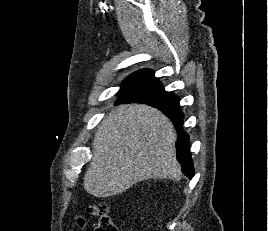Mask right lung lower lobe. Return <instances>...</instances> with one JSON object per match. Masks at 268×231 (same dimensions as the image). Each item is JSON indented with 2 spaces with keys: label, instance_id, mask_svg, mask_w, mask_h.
<instances>
[{
  "label": "right lung lower lobe",
  "instance_id": "obj_1",
  "mask_svg": "<svg viewBox=\"0 0 268 231\" xmlns=\"http://www.w3.org/2000/svg\"><path fill=\"white\" fill-rule=\"evenodd\" d=\"M178 108L179 106L159 110H161L168 118L171 119L177 130V160L181 163L182 172L189 177V179H192L194 176V169L189 150V136L183 130V113Z\"/></svg>",
  "mask_w": 268,
  "mask_h": 231
}]
</instances>
